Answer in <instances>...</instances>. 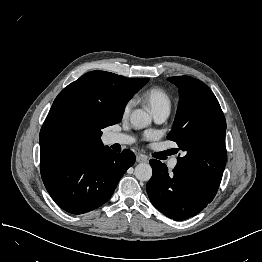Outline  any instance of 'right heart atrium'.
Here are the masks:
<instances>
[{"instance_id":"1","label":"right heart atrium","mask_w":262,"mask_h":262,"mask_svg":"<svg viewBox=\"0 0 262 262\" xmlns=\"http://www.w3.org/2000/svg\"><path fill=\"white\" fill-rule=\"evenodd\" d=\"M132 105H133V101L132 100H129L123 107V115L126 116L129 114L131 108H132Z\"/></svg>"}]
</instances>
